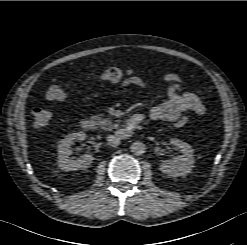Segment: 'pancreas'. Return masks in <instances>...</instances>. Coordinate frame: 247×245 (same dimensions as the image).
I'll return each mask as SVG.
<instances>
[{
    "instance_id": "cf45deb5",
    "label": "pancreas",
    "mask_w": 247,
    "mask_h": 245,
    "mask_svg": "<svg viewBox=\"0 0 247 245\" xmlns=\"http://www.w3.org/2000/svg\"><path fill=\"white\" fill-rule=\"evenodd\" d=\"M91 120L103 130H112L114 127L112 119L103 114L94 115Z\"/></svg>"
}]
</instances>
